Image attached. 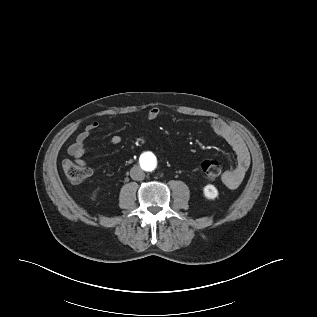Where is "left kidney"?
<instances>
[{
    "mask_svg": "<svg viewBox=\"0 0 317 317\" xmlns=\"http://www.w3.org/2000/svg\"><path fill=\"white\" fill-rule=\"evenodd\" d=\"M204 195L208 199H214L218 196V191L213 185H206L203 189Z\"/></svg>",
    "mask_w": 317,
    "mask_h": 317,
    "instance_id": "left-kidney-1",
    "label": "left kidney"
}]
</instances>
